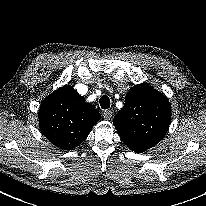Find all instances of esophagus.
I'll return each instance as SVG.
<instances>
[{"mask_svg":"<svg viewBox=\"0 0 206 206\" xmlns=\"http://www.w3.org/2000/svg\"><path fill=\"white\" fill-rule=\"evenodd\" d=\"M113 112L111 110H105L102 112V116L106 120H110L112 118Z\"/></svg>","mask_w":206,"mask_h":206,"instance_id":"1","label":"esophagus"}]
</instances>
